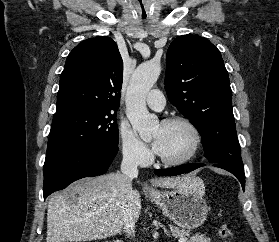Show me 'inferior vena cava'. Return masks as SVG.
<instances>
[{"instance_id":"inferior-vena-cava-1","label":"inferior vena cava","mask_w":279,"mask_h":242,"mask_svg":"<svg viewBox=\"0 0 279 242\" xmlns=\"http://www.w3.org/2000/svg\"><path fill=\"white\" fill-rule=\"evenodd\" d=\"M138 161L136 156L132 153H126L123 156L121 163V173L127 178V182L123 186L124 194H132V184L131 181L133 178L138 175ZM124 232L127 237H132L135 235V222L133 219V214L130 209H126L124 216Z\"/></svg>"}]
</instances>
